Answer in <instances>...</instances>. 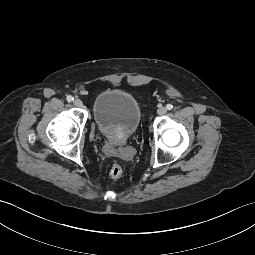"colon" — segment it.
<instances>
[{
  "label": "colon",
  "mask_w": 255,
  "mask_h": 255,
  "mask_svg": "<svg viewBox=\"0 0 255 255\" xmlns=\"http://www.w3.org/2000/svg\"><path fill=\"white\" fill-rule=\"evenodd\" d=\"M123 167L119 163H114L110 166L109 176L113 179H118L123 175Z\"/></svg>",
  "instance_id": "obj_1"
}]
</instances>
